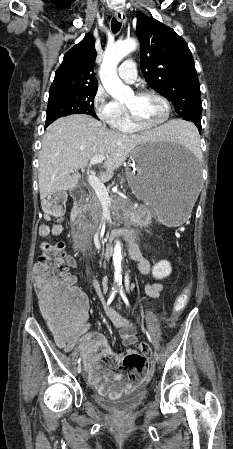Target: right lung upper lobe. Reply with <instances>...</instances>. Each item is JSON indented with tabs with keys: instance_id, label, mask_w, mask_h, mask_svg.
<instances>
[{
	"instance_id": "1",
	"label": "right lung upper lobe",
	"mask_w": 233,
	"mask_h": 449,
	"mask_svg": "<svg viewBox=\"0 0 233 449\" xmlns=\"http://www.w3.org/2000/svg\"><path fill=\"white\" fill-rule=\"evenodd\" d=\"M96 54L95 39L89 33L64 55L49 94L97 89L98 82L93 74Z\"/></svg>"
}]
</instances>
